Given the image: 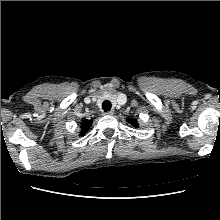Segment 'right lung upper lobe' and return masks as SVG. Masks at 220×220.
<instances>
[{
    "label": "right lung upper lobe",
    "mask_w": 220,
    "mask_h": 220,
    "mask_svg": "<svg viewBox=\"0 0 220 220\" xmlns=\"http://www.w3.org/2000/svg\"><path fill=\"white\" fill-rule=\"evenodd\" d=\"M92 124V120H83L81 122V135L88 131Z\"/></svg>",
    "instance_id": "right-lung-upper-lobe-1"
}]
</instances>
